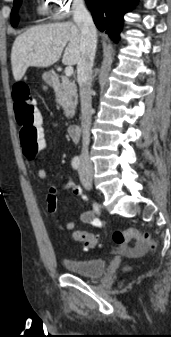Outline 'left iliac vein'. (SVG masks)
I'll list each match as a JSON object with an SVG mask.
<instances>
[{
	"label": "left iliac vein",
	"mask_w": 171,
	"mask_h": 337,
	"mask_svg": "<svg viewBox=\"0 0 171 337\" xmlns=\"http://www.w3.org/2000/svg\"><path fill=\"white\" fill-rule=\"evenodd\" d=\"M80 180L85 189H90L92 186V171L82 167L79 170Z\"/></svg>",
	"instance_id": "1"
}]
</instances>
